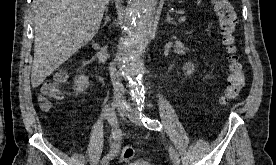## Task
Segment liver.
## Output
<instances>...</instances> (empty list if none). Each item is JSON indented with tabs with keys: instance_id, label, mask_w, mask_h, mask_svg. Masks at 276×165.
<instances>
[{
	"instance_id": "liver-1",
	"label": "liver",
	"mask_w": 276,
	"mask_h": 165,
	"mask_svg": "<svg viewBox=\"0 0 276 165\" xmlns=\"http://www.w3.org/2000/svg\"><path fill=\"white\" fill-rule=\"evenodd\" d=\"M110 0H34L36 88L96 35Z\"/></svg>"
}]
</instances>
